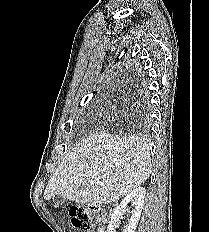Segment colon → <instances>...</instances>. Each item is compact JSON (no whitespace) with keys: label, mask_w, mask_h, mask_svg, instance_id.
Segmentation results:
<instances>
[{"label":"colon","mask_w":209,"mask_h":232,"mask_svg":"<svg viewBox=\"0 0 209 232\" xmlns=\"http://www.w3.org/2000/svg\"><path fill=\"white\" fill-rule=\"evenodd\" d=\"M103 218L102 211L96 207H73L69 211L71 224L84 232L92 229L93 221L101 222Z\"/></svg>","instance_id":"5ec220e1"}]
</instances>
